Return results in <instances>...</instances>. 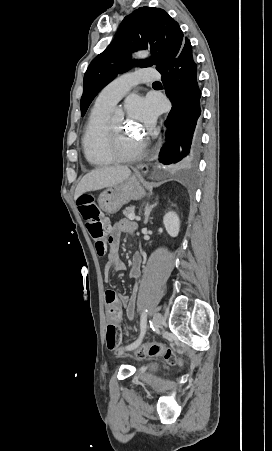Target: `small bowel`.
Segmentation results:
<instances>
[{"label": "small bowel", "instance_id": "1", "mask_svg": "<svg viewBox=\"0 0 272 451\" xmlns=\"http://www.w3.org/2000/svg\"><path fill=\"white\" fill-rule=\"evenodd\" d=\"M108 225V224H107ZM136 224L132 221L122 219L116 224L109 227V249L107 252V262L104 267V279L109 281L111 271H123L125 264L120 258L119 248L121 239L124 234H133L136 231ZM142 269V256L137 253L132 257L129 275L135 282L139 279ZM137 294V286L134 285L131 296L117 294L109 290L105 294V302L107 306V320L112 319L117 324L121 323L123 312L126 317L132 321L135 317V301Z\"/></svg>", "mask_w": 272, "mask_h": 451}]
</instances>
